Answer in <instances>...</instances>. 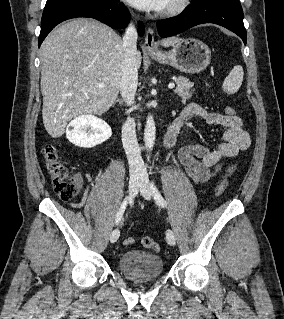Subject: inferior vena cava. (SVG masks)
Segmentation results:
<instances>
[{
	"mask_svg": "<svg viewBox=\"0 0 284 319\" xmlns=\"http://www.w3.org/2000/svg\"><path fill=\"white\" fill-rule=\"evenodd\" d=\"M137 38V30L131 22L123 37L124 60L120 80V93L127 105L134 103L138 84V70L136 66ZM135 127V121L132 118H129L122 127V143L131 171H139L143 168V160L136 138Z\"/></svg>",
	"mask_w": 284,
	"mask_h": 319,
	"instance_id": "1",
	"label": "inferior vena cava"
}]
</instances>
